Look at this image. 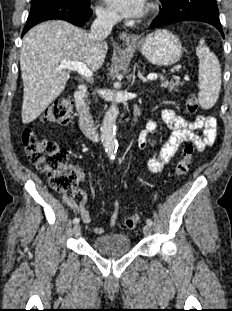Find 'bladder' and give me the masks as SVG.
Masks as SVG:
<instances>
[{"label": "bladder", "mask_w": 232, "mask_h": 311, "mask_svg": "<svg viewBox=\"0 0 232 311\" xmlns=\"http://www.w3.org/2000/svg\"><path fill=\"white\" fill-rule=\"evenodd\" d=\"M92 246L96 252L107 255H119L131 250L129 236L124 233H108L96 237Z\"/></svg>", "instance_id": "1"}]
</instances>
